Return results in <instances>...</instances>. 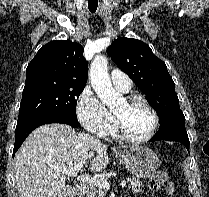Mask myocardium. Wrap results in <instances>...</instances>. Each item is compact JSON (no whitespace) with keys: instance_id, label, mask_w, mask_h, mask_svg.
Masks as SVG:
<instances>
[{"instance_id":"f54148a6","label":"myocardium","mask_w":209,"mask_h":197,"mask_svg":"<svg viewBox=\"0 0 209 197\" xmlns=\"http://www.w3.org/2000/svg\"><path fill=\"white\" fill-rule=\"evenodd\" d=\"M125 101L128 104H133V103H137V102L142 103L150 111L152 118H153V123H152V126H151L149 132L145 136L140 137V138H135V137H132L126 133L120 119L118 118L117 115L114 114L115 129H116L118 136L122 140H124L128 143H131V144H143V143L148 142L149 140H151L154 137V135L156 134L157 129L159 127L160 120H159V115H158L156 109L142 95H138V94L129 95V96L125 97Z\"/></svg>"}]
</instances>
